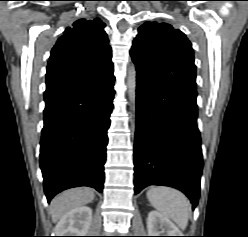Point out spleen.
Segmentation results:
<instances>
[{"instance_id":"3e777b00","label":"spleen","mask_w":248,"mask_h":237,"mask_svg":"<svg viewBox=\"0 0 248 237\" xmlns=\"http://www.w3.org/2000/svg\"><path fill=\"white\" fill-rule=\"evenodd\" d=\"M151 205L164 216L173 220L182 230L188 224L191 204L180 191L169 187H151L147 191Z\"/></svg>"}]
</instances>
